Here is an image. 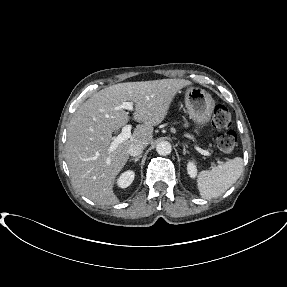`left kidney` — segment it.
I'll use <instances>...</instances> for the list:
<instances>
[{
  "label": "left kidney",
  "mask_w": 287,
  "mask_h": 287,
  "mask_svg": "<svg viewBox=\"0 0 287 287\" xmlns=\"http://www.w3.org/2000/svg\"><path fill=\"white\" fill-rule=\"evenodd\" d=\"M187 172L191 178H195L197 175V168L194 162L190 161L187 164Z\"/></svg>",
  "instance_id": "left-kidney-1"
}]
</instances>
